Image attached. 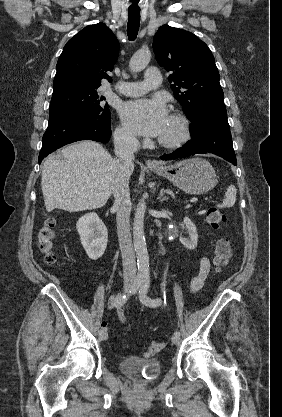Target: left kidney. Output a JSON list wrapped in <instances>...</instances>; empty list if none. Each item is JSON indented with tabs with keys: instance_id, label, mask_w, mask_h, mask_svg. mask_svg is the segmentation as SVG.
<instances>
[{
	"instance_id": "1",
	"label": "left kidney",
	"mask_w": 282,
	"mask_h": 417,
	"mask_svg": "<svg viewBox=\"0 0 282 417\" xmlns=\"http://www.w3.org/2000/svg\"><path fill=\"white\" fill-rule=\"evenodd\" d=\"M185 225V229L189 235V239H185V237H179L180 243L186 247V249H190V251H194L198 245V235L196 225L192 223L189 217H184L183 221Z\"/></svg>"
}]
</instances>
